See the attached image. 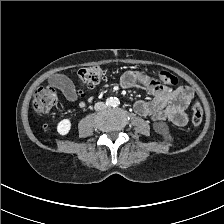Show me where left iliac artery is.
Listing matches in <instances>:
<instances>
[{
    "label": "left iliac artery",
    "instance_id": "left-iliac-artery-1",
    "mask_svg": "<svg viewBox=\"0 0 224 224\" xmlns=\"http://www.w3.org/2000/svg\"><path fill=\"white\" fill-rule=\"evenodd\" d=\"M119 104H120L119 99L115 97L114 100H113V106L117 107V106H119Z\"/></svg>",
    "mask_w": 224,
    "mask_h": 224
}]
</instances>
